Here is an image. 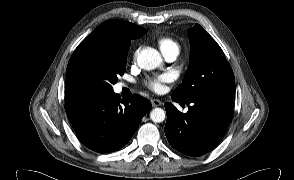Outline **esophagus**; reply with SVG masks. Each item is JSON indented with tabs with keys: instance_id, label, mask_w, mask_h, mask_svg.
I'll return each mask as SVG.
<instances>
[{
	"instance_id": "esophagus-1",
	"label": "esophagus",
	"mask_w": 294,
	"mask_h": 180,
	"mask_svg": "<svg viewBox=\"0 0 294 180\" xmlns=\"http://www.w3.org/2000/svg\"><path fill=\"white\" fill-rule=\"evenodd\" d=\"M151 103H152L153 107H157V106L162 105V102L160 100H158V99H152Z\"/></svg>"
}]
</instances>
